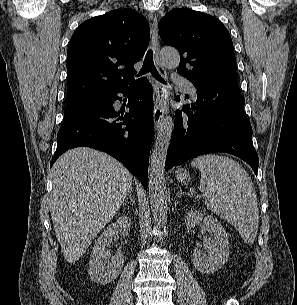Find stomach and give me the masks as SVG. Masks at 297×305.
<instances>
[{
  "mask_svg": "<svg viewBox=\"0 0 297 305\" xmlns=\"http://www.w3.org/2000/svg\"><path fill=\"white\" fill-rule=\"evenodd\" d=\"M176 178L182 183H188L190 181V173L184 168H178L175 171Z\"/></svg>",
  "mask_w": 297,
  "mask_h": 305,
  "instance_id": "stomach-1",
  "label": "stomach"
}]
</instances>
